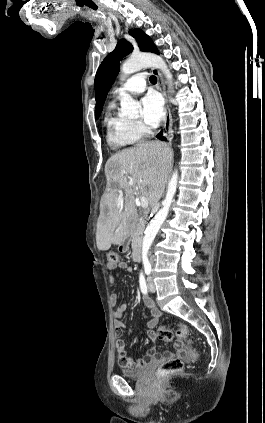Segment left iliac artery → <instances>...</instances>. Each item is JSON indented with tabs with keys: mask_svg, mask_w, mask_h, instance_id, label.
<instances>
[{
	"mask_svg": "<svg viewBox=\"0 0 265 423\" xmlns=\"http://www.w3.org/2000/svg\"><path fill=\"white\" fill-rule=\"evenodd\" d=\"M144 269H145V273H146L147 275H149V274H150V272H151V265H150V263H149V262H144Z\"/></svg>",
	"mask_w": 265,
	"mask_h": 423,
	"instance_id": "1",
	"label": "left iliac artery"
}]
</instances>
